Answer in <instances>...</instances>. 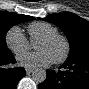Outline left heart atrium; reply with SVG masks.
<instances>
[{"label": "left heart atrium", "instance_id": "left-heart-atrium-1", "mask_svg": "<svg viewBox=\"0 0 89 89\" xmlns=\"http://www.w3.org/2000/svg\"><path fill=\"white\" fill-rule=\"evenodd\" d=\"M17 61L25 67H37L49 65L53 62V59L46 51H36L19 55Z\"/></svg>", "mask_w": 89, "mask_h": 89}]
</instances>
